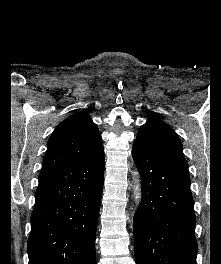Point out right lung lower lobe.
Masks as SVG:
<instances>
[{"instance_id": "right-lung-lower-lobe-1", "label": "right lung lower lobe", "mask_w": 221, "mask_h": 264, "mask_svg": "<svg viewBox=\"0 0 221 264\" xmlns=\"http://www.w3.org/2000/svg\"><path fill=\"white\" fill-rule=\"evenodd\" d=\"M104 153L40 173L31 215L29 264H95Z\"/></svg>"}]
</instances>
